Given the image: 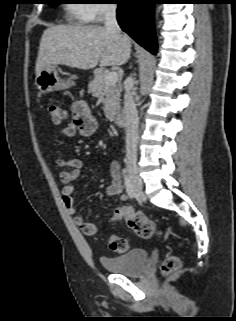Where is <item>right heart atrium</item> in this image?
<instances>
[{"label": "right heart atrium", "instance_id": "1", "mask_svg": "<svg viewBox=\"0 0 236 321\" xmlns=\"http://www.w3.org/2000/svg\"><path fill=\"white\" fill-rule=\"evenodd\" d=\"M115 10L113 0H92V3L86 5L85 19L90 22H100Z\"/></svg>", "mask_w": 236, "mask_h": 321}]
</instances>
